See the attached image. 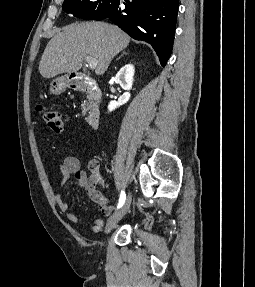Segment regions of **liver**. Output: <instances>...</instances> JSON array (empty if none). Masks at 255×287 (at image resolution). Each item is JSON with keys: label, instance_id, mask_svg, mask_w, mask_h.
I'll use <instances>...</instances> for the list:
<instances>
[{"label": "liver", "instance_id": "1", "mask_svg": "<svg viewBox=\"0 0 255 287\" xmlns=\"http://www.w3.org/2000/svg\"><path fill=\"white\" fill-rule=\"evenodd\" d=\"M129 36L120 28L104 22H84L62 28L48 42L39 64L43 78H55L58 74H77L82 68L84 56L98 60L97 76L106 72L112 58L127 48Z\"/></svg>", "mask_w": 255, "mask_h": 287}]
</instances>
